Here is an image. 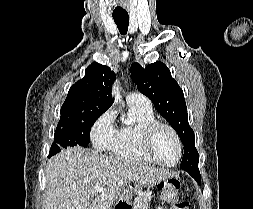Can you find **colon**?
I'll list each match as a JSON object with an SVG mask.
<instances>
[{
    "instance_id": "colon-1",
    "label": "colon",
    "mask_w": 253,
    "mask_h": 209,
    "mask_svg": "<svg viewBox=\"0 0 253 209\" xmlns=\"http://www.w3.org/2000/svg\"><path fill=\"white\" fill-rule=\"evenodd\" d=\"M167 188H165V194L173 195L177 192L180 183L177 179H171L167 182ZM175 209H190V204L187 201H180L175 205Z\"/></svg>"
}]
</instances>
